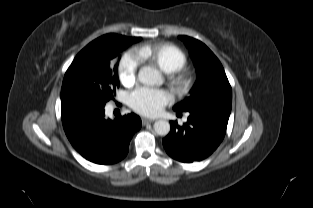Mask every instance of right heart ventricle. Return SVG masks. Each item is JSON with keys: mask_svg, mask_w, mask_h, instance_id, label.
I'll return each instance as SVG.
<instances>
[{"mask_svg": "<svg viewBox=\"0 0 313 208\" xmlns=\"http://www.w3.org/2000/svg\"><path fill=\"white\" fill-rule=\"evenodd\" d=\"M136 54L140 60L148 61L167 74L181 70L187 62L184 52L169 43H154L142 45Z\"/></svg>", "mask_w": 313, "mask_h": 208, "instance_id": "obj_1", "label": "right heart ventricle"}]
</instances>
